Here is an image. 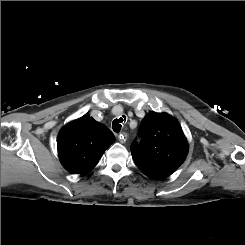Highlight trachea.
Returning a JSON list of instances; mask_svg holds the SVG:
<instances>
[{
  "instance_id": "1",
  "label": "trachea",
  "mask_w": 245,
  "mask_h": 245,
  "mask_svg": "<svg viewBox=\"0 0 245 245\" xmlns=\"http://www.w3.org/2000/svg\"><path fill=\"white\" fill-rule=\"evenodd\" d=\"M126 121V116H121L119 119H115L112 122V128L115 132H119L121 130L122 125H124Z\"/></svg>"
}]
</instances>
